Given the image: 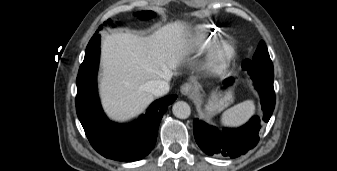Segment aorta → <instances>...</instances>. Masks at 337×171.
<instances>
[{
  "instance_id": "1",
  "label": "aorta",
  "mask_w": 337,
  "mask_h": 171,
  "mask_svg": "<svg viewBox=\"0 0 337 171\" xmlns=\"http://www.w3.org/2000/svg\"><path fill=\"white\" fill-rule=\"evenodd\" d=\"M172 112L175 117L179 119H186L190 116L191 109L188 103L184 101H178L173 105Z\"/></svg>"
}]
</instances>
